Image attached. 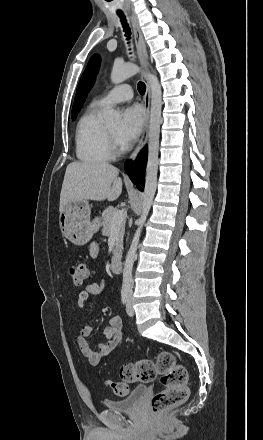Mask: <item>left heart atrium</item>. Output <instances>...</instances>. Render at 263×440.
<instances>
[{"instance_id":"obj_1","label":"left heart atrium","mask_w":263,"mask_h":440,"mask_svg":"<svg viewBox=\"0 0 263 440\" xmlns=\"http://www.w3.org/2000/svg\"><path fill=\"white\" fill-rule=\"evenodd\" d=\"M144 122L145 114L140 106L126 108L116 134L118 141L123 145L132 143L140 135Z\"/></svg>"}]
</instances>
